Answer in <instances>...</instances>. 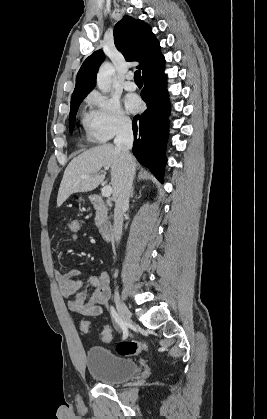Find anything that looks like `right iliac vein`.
Here are the masks:
<instances>
[{
	"instance_id": "63e3f726",
	"label": "right iliac vein",
	"mask_w": 267,
	"mask_h": 419,
	"mask_svg": "<svg viewBox=\"0 0 267 419\" xmlns=\"http://www.w3.org/2000/svg\"><path fill=\"white\" fill-rule=\"evenodd\" d=\"M116 306L122 321L126 324V326H130L132 324L131 314L126 304L118 296L116 297Z\"/></svg>"
}]
</instances>
